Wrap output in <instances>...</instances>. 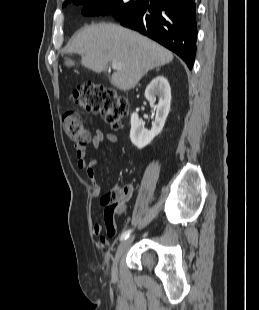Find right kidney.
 Returning <instances> with one entry per match:
<instances>
[{"mask_svg": "<svg viewBox=\"0 0 259 310\" xmlns=\"http://www.w3.org/2000/svg\"><path fill=\"white\" fill-rule=\"evenodd\" d=\"M156 96H158V103L155 106L156 116L150 131L144 127L136 112L131 115L130 139L139 149L147 146L155 136L162 132L169 114L171 88L168 80L164 76H157L154 78L145 90V97L151 104L156 101Z\"/></svg>", "mask_w": 259, "mask_h": 310, "instance_id": "obj_1", "label": "right kidney"}]
</instances>
